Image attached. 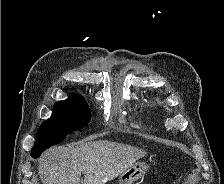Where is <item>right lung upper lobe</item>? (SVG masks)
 Returning a JSON list of instances; mask_svg holds the SVG:
<instances>
[{
    "instance_id": "right-lung-upper-lobe-1",
    "label": "right lung upper lobe",
    "mask_w": 224,
    "mask_h": 184,
    "mask_svg": "<svg viewBox=\"0 0 224 184\" xmlns=\"http://www.w3.org/2000/svg\"><path fill=\"white\" fill-rule=\"evenodd\" d=\"M84 98H82L80 95L72 94L67 100L60 101V102H80L83 101Z\"/></svg>"
}]
</instances>
